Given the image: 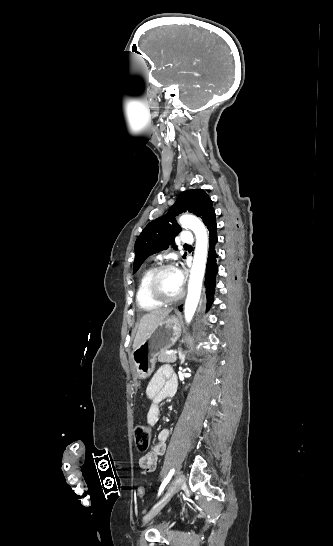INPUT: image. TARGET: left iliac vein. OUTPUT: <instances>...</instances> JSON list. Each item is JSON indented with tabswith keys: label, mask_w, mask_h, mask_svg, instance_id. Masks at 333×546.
Returning a JSON list of instances; mask_svg holds the SVG:
<instances>
[{
	"label": "left iliac vein",
	"mask_w": 333,
	"mask_h": 546,
	"mask_svg": "<svg viewBox=\"0 0 333 546\" xmlns=\"http://www.w3.org/2000/svg\"><path fill=\"white\" fill-rule=\"evenodd\" d=\"M185 484L184 474H179L178 477L172 481L166 489L165 496L144 516L143 523L150 521L158 512L168 503L171 497L177 493Z\"/></svg>",
	"instance_id": "1"
}]
</instances>
